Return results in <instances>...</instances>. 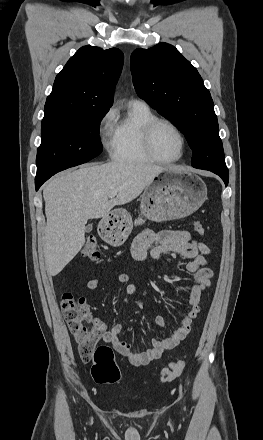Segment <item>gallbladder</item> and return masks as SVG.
<instances>
[{
	"mask_svg": "<svg viewBox=\"0 0 263 440\" xmlns=\"http://www.w3.org/2000/svg\"><path fill=\"white\" fill-rule=\"evenodd\" d=\"M92 228H93L92 224H89V225H87L85 231H86L87 233H89V232L92 231Z\"/></svg>",
	"mask_w": 263,
	"mask_h": 440,
	"instance_id": "gallbladder-1",
	"label": "gallbladder"
}]
</instances>
